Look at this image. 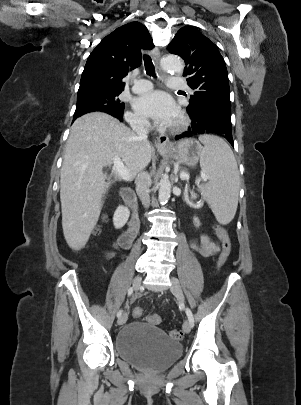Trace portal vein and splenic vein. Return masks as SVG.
Instances as JSON below:
<instances>
[{
    "instance_id": "obj_1",
    "label": "portal vein and splenic vein",
    "mask_w": 301,
    "mask_h": 405,
    "mask_svg": "<svg viewBox=\"0 0 301 405\" xmlns=\"http://www.w3.org/2000/svg\"><path fill=\"white\" fill-rule=\"evenodd\" d=\"M113 172L115 174H117L119 177H121L122 179H124L125 181H129L130 180V175L129 172L127 171L126 167L124 166L123 162L121 161V159L119 157H115L113 159ZM180 178L182 180H189V174L185 173V172H181L180 173Z\"/></svg>"
}]
</instances>
